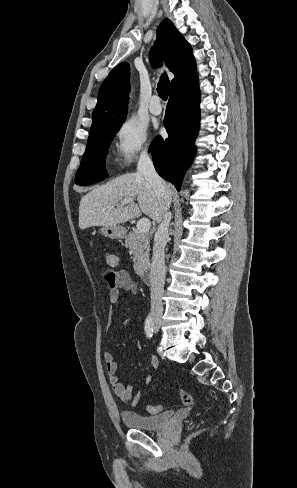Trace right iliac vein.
Masks as SVG:
<instances>
[{"label":"right iliac vein","instance_id":"63e3f726","mask_svg":"<svg viewBox=\"0 0 297 488\" xmlns=\"http://www.w3.org/2000/svg\"><path fill=\"white\" fill-rule=\"evenodd\" d=\"M154 326H155V328L158 329L160 327V322L159 321H155L154 322Z\"/></svg>","mask_w":297,"mask_h":488}]
</instances>
